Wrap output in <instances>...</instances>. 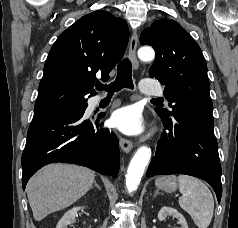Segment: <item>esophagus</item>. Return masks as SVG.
<instances>
[{
	"mask_svg": "<svg viewBox=\"0 0 238 228\" xmlns=\"http://www.w3.org/2000/svg\"><path fill=\"white\" fill-rule=\"evenodd\" d=\"M137 43H138L137 33H133L129 42L128 53H129L130 60L135 69L138 68L139 66V62L136 57ZM119 144L121 149L126 153L130 152L133 148V143L130 140L125 139L123 137L119 138Z\"/></svg>",
	"mask_w": 238,
	"mask_h": 228,
	"instance_id": "obj_1",
	"label": "esophagus"
}]
</instances>
